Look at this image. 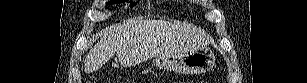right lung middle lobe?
Here are the masks:
<instances>
[{
    "label": "right lung middle lobe",
    "mask_w": 307,
    "mask_h": 83,
    "mask_svg": "<svg viewBox=\"0 0 307 83\" xmlns=\"http://www.w3.org/2000/svg\"><path fill=\"white\" fill-rule=\"evenodd\" d=\"M114 3H116V1H110V2H108V4H114ZM133 6H134V3L131 2V7H133Z\"/></svg>",
    "instance_id": "1"
}]
</instances>
